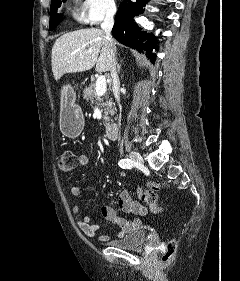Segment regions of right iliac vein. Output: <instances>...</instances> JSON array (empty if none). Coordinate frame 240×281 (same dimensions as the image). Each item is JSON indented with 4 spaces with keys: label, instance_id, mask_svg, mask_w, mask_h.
<instances>
[{
    "label": "right iliac vein",
    "instance_id": "obj_1",
    "mask_svg": "<svg viewBox=\"0 0 240 281\" xmlns=\"http://www.w3.org/2000/svg\"><path fill=\"white\" fill-rule=\"evenodd\" d=\"M128 156L134 162H137L139 164L143 163V159H142L141 155L139 153H137V152L131 151V152H129Z\"/></svg>",
    "mask_w": 240,
    "mask_h": 281
}]
</instances>
